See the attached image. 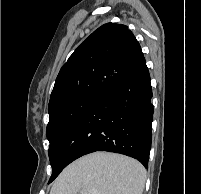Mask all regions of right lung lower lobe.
I'll use <instances>...</instances> for the list:
<instances>
[{"instance_id":"right-lung-lower-lobe-1","label":"right lung lower lobe","mask_w":201,"mask_h":194,"mask_svg":"<svg viewBox=\"0 0 201 194\" xmlns=\"http://www.w3.org/2000/svg\"><path fill=\"white\" fill-rule=\"evenodd\" d=\"M151 98L150 75L144 61L101 94L69 127L53 153L56 174L75 159L95 151L124 154L147 168L153 120Z\"/></svg>"}]
</instances>
